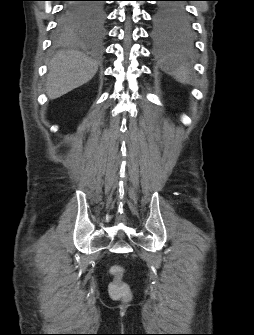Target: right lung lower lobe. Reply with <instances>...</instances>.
Wrapping results in <instances>:
<instances>
[{
    "label": "right lung lower lobe",
    "instance_id": "right-lung-lower-lobe-1",
    "mask_svg": "<svg viewBox=\"0 0 254 335\" xmlns=\"http://www.w3.org/2000/svg\"><path fill=\"white\" fill-rule=\"evenodd\" d=\"M66 1L58 19L56 30L61 31L68 29L74 22L75 18L79 19V28L88 31L99 21V11L92 6L93 2L99 0H64Z\"/></svg>",
    "mask_w": 254,
    "mask_h": 335
}]
</instances>
